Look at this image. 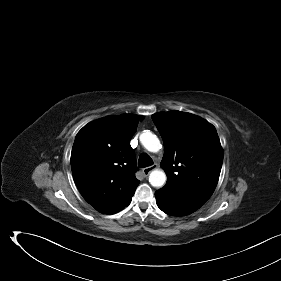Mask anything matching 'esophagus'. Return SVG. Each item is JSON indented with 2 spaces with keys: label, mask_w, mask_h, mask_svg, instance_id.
<instances>
[{
  "label": "esophagus",
  "mask_w": 281,
  "mask_h": 281,
  "mask_svg": "<svg viewBox=\"0 0 281 281\" xmlns=\"http://www.w3.org/2000/svg\"><path fill=\"white\" fill-rule=\"evenodd\" d=\"M156 168H157V165L154 164V165H152V166H149V167L144 168V169L142 170V172H143V174H144L145 176H147V175H149V173H150L151 171H153V170L156 169Z\"/></svg>",
  "instance_id": "esophagus-1"
}]
</instances>
